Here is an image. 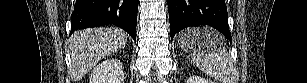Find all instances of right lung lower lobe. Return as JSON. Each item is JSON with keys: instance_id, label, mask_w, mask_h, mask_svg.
<instances>
[{"instance_id": "1", "label": "right lung lower lobe", "mask_w": 307, "mask_h": 83, "mask_svg": "<svg viewBox=\"0 0 307 83\" xmlns=\"http://www.w3.org/2000/svg\"><path fill=\"white\" fill-rule=\"evenodd\" d=\"M138 0H77L71 17V33L75 30L116 25L136 41Z\"/></svg>"}]
</instances>
